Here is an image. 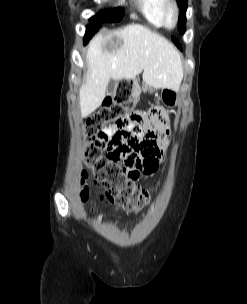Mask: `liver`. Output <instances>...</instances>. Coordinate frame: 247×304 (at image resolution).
I'll return each instance as SVG.
<instances>
[{"label": "liver", "mask_w": 247, "mask_h": 304, "mask_svg": "<svg viewBox=\"0 0 247 304\" xmlns=\"http://www.w3.org/2000/svg\"><path fill=\"white\" fill-rule=\"evenodd\" d=\"M87 73L79 92L82 117L93 113L105 98L110 79H132L143 71V81L154 88L179 90L183 79L181 56L163 36L132 24L96 34L90 41Z\"/></svg>", "instance_id": "liver-1"}]
</instances>
